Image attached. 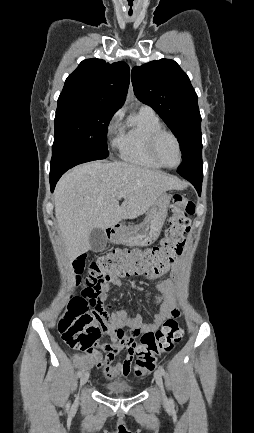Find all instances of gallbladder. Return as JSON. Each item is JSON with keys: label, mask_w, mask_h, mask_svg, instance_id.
I'll list each match as a JSON object with an SVG mask.
<instances>
[{"label": "gallbladder", "mask_w": 254, "mask_h": 433, "mask_svg": "<svg viewBox=\"0 0 254 433\" xmlns=\"http://www.w3.org/2000/svg\"><path fill=\"white\" fill-rule=\"evenodd\" d=\"M89 242L92 251L100 252L104 250L107 244V237L104 230L101 228H93L90 231Z\"/></svg>", "instance_id": "gallbladder-1"}]
</instances>
